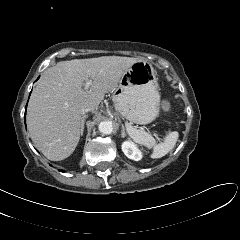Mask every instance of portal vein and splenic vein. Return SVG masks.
<instances>
[{
  "label": "portal vein and splenic vein",
  "instance_id": "1",
  "mask_svg": "<svg viewBox=\"0 0 240 240\" xmlns=\"http://www.w3.org/2000/svg\"><path fill=\"white\" fill-rule=\"evenodd\" d=\"M92 84V81L91 80H87L86 83H85V90H88L90 85Z\"/></svg>",
  "mask_w": 240,
  "mask_h": 240
}]
</instances>
